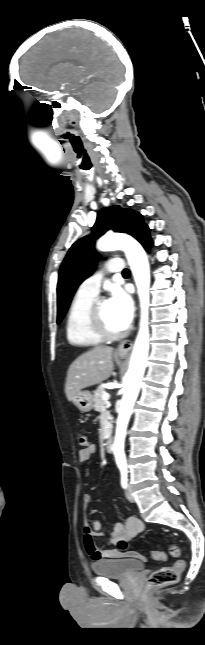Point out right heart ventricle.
<instances>
[{"mask_svg": "<svg viewBox=\"0 0 205 645\" xmlns=\"http://www.w3.org/2000/svg\"><path fill=\"white\" fill-rule=\"evenodd\" d=\"M95 297L80 291L74 295L66 318V337L71 345L93 347L103 342L89 323V312Z\"/></svg>", "mask_w": 205, "mask_h": 645, "instance_id": "e07e8e85", "label": "right heart ventricle"}]
</instances>
